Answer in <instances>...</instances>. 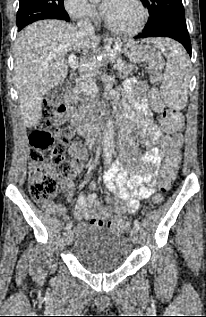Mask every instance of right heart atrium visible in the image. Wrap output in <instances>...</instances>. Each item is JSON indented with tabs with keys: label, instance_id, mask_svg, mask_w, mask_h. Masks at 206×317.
Returning <instances> with one entry per match:
<instances>
[{
	"label": "right heart atrium",
	"instance_id": "d8ad5b80",
	"mask_svg": "<svg viewBox=\"0 0 206 317\" xmlns=\"http://www.w3.org/2000/svg\"><path fill=\"white\" fill-rule=\"evenodd\" d=\"M67 12L76 20H94L97 11L87 0H64Z\"/></svg>",
	"mask_w": 206,
	"mask_h": 317
}]
</instances>
